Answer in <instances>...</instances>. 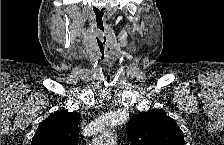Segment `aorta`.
Returning <instances> with one entry per match:
<instances>
[{"mask_svg":"<svg viewBox=\"0 0 224 145\" xmlns=\"http://www.w3.org/2000/svg\"><path fill=\"white\" fill-rule=\"evenodd\" d=\"M115 142L114 134L111 130L104 131L98 138L100 145H113Z\"/></svg>","mask_w":224,"mask_h":145,"instance_id":"aorta-1","label":"aorta"}]
</instances>
